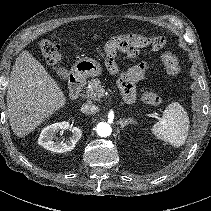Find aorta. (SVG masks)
I'll use <instances>...</instances> for the list:
<instances>
[{
	"label": "aorta",
	"mask_w": 211,
	"mask_h": 211,
	"mask_svg": "<svg viewBox=\"0 0 211 211\" xmlns=\"http://www.w3.org/2000/svg\"><path fill=\"white\" fill-rule=\"evenodd\" d=\"M96 132L100 137H108L111 135L112 128L110 124L106 122H100L96 127Z\"/></svg>",
	"instance_id": "762f6f07"
}]
</instances>
